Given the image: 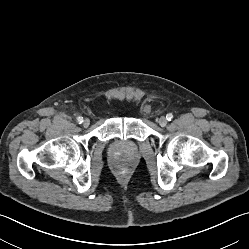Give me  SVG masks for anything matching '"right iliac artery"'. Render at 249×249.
<instances>
[{"instance_id": "obj_1", "label": "right iliac artery", "mask_w": 249, "mask_h": 249, "mask_svg": "<svg viewBox=\"0 0 249 249\" xmlns=\"http://www.w3.org/2000/svg\"><path fill=\"white\" fill-rule=\"evenodd\" d=\"M77 122H78L79 124H81V123L83 122V118H82V117H78V118H77Z\"/></svg>"}]
</instances>
